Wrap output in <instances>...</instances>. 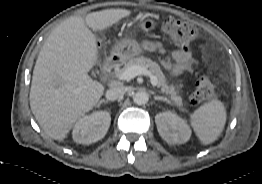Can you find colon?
I'll return each instance as SVG.
<instances>
[{
	"label": "colon",
	"mask_w": 262,
	"mask_h": 184,
	"mask_svg": "<svg viewBox=\"0 0 262 184\" xmlns=\"http://www.w3.org/2000/svg\"><path fill=\"white\" fill-rule=\"evenodd\" d=\"M163 30L171 42L188 47L198 36L197 28L190 22L175 18H166L163 21ZM214 94L212 83L207 77L199 76L196 79L191 102L199 105L209 101Z\"/></svg>",
	"instance_id": "obj_1"
}]
</instances>
